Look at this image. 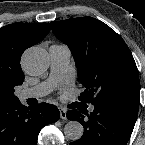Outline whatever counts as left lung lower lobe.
Masks as SVG:
<instances>
[{"label": "left lung lower lobe", "instance_id": "0a47b994", "mask_svg": "<svg viewBox=\"0 0 145 145\" xmlns=\"http://www.w3.org/2000/svg\"><path fill=\"white\" fill-rule=\"evenodd\" d=\"M138 100H114L94 105V110H70L69 120L84 126L83 136L70 145H126L132 134L139 109Z\"/></svg>", "mask_w": 145, "mask_h": 145}]
</instances>
